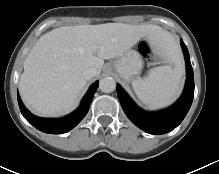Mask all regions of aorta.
Returning <instances> with one entry per match:
<instances>
[{
    "instance_id": "aorta-1",
    "label": "aorta",
    "mask_w": 219,
    "mask_h": 174,
    "mask_svg": "<svg viewBox=\"0 0 219 174\" xmlns=\"http://www.w3.org/2000/svg\"><path fill=\"white\" fill-rule=\"evenodd\" d=\"M99 88L104 93H111L116 89V82L110 77L103 78L99 82Z\"/></svg>"
}]
</instances>
